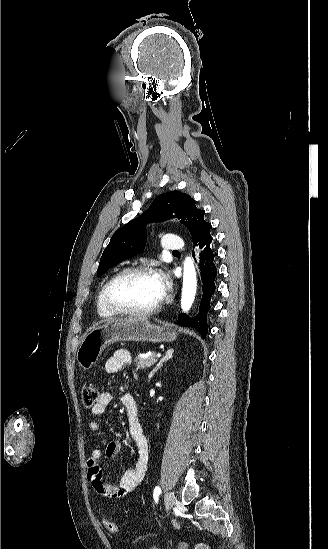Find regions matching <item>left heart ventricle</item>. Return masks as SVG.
I'll return each instance as SVG.
<instances>
[{
    "label": "left heart ventricle",
    "mask_w": 328,
    "mask_h": 549,
    "mask_svg": "<svg viewBox=\"0 0 328 549\" xmlns=\"http://www.w3.org/2000/svg\"><path fill=\"white\" fill-rule=\"evenodd\" d=\"M158 267H152L156 271ZM162 297L156 273L138 272L120 280L112 289L111 298L118 309H145Z\"/></svg>",
    "instance_id": "obj_1"
}]
</instances>
